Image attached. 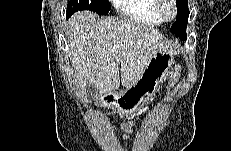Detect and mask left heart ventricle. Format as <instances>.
Returning <instances> with one entry per match:
<instances>
[{
	"label": "left heart ventricle",
	"mask_w": 231,
	"mask_h": 151,
	"mask_svg": "<svg viewBox=\"0 0 231 151\" xmlns=\"http://www.w3.org/2000/svg\"><path fill=\"white\" fill-rule=\"evenodd\" d=\"M165 12H166L167 14H169V13L171 12V9H170V8H166V9H165Z\"/></svg>",
	"instance_id": "left-heart-ventricle-1"
}]
</instances>
